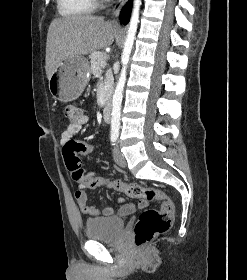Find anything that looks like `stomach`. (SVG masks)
<instances>
[{
  "label": "stomach",
  "mask_w": 247,
  "mask_h": 280,
  "mask_svg": "<svg viewBox=\"0 0 247 280\" xmlns=\"http://www.w3.org/2000/svg\"><path fill=\"white\" fill-rule=\"evenodd\" d=\"M91 68L82 56L62 61L49 79L50 93L61 102H71L83 92L90 78Z\"/></svg>",
  "instance_id": "0dacf381"
}]
</instances>
